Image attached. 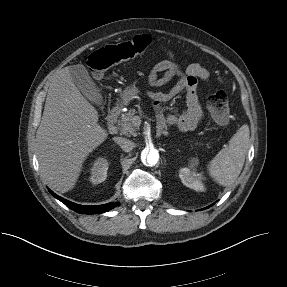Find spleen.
Returning a JSON list of instances; mask_svg holds the SVG:
<instances>
[{
  "label": "spleen",
  "instance_id": "1",
  "mask_svg": "<svg viewBox=\"0 0 287 287\" xmlns=\"http://www.w3.org/2000/svg\"><path fill=\"white\" fill-rule=\"evenodd\" d=\"M249 126L242 125L208 164L209 175L220 185L230 186L243 168L249 146Z\"/></svg>",
  "mask_w": 287,
  "mask_h": 287
}]
</instances>
